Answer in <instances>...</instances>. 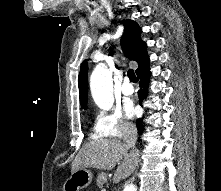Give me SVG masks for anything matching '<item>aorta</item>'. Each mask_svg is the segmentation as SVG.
Listing matches in <instances>:
<instances>
[{"label":"aorta","instance_id":"aorta-1","mask_svg":"<svg viewBox=\"0 0 221 191\" xmlns=\"http://www.w3.org/2000/svg\"><path fill=\"white\" fill-rule=\"evenodd\" d=\"M90 89L93 100L103 110H109L114 103L111 76L104 64H99L90 77ZM123 191H137L134 184H127Z\"/></svg>","mask_w":221,"mask_h":191}]
</instances>
